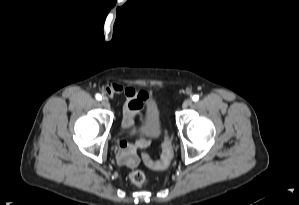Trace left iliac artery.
Masks as SVG:
<instances>
[{"instance_id":"1","label":"left iliac artery","mask_w":299,"mask_h":205,"mask_svg":"<svg viewBox=\"0 0 299 205\" xmlns=\"http://www.w3.org/2000/svg\"><path fill=\"white\" fill-rule=\"evenodd\" d=\"M192 100H193L194 102L198 101V100H199V96H198V95H193V96H192Z\"/></svg>"}]
</instances>
